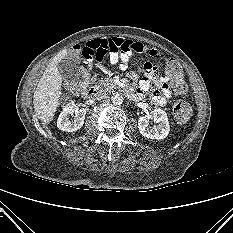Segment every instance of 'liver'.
<instances>
[{"label":"liver","mask_w":233,"mask_h":233,"mask_svg":"<svg viewBox=\"0 0 233 233\" xmlns=\"http://www.w3.org/2000/svg\"><path fill=\"white\" fill-rule=\"evenodd\" d=\"M68 55L67 50L59 52L45 69L33 96L37 117L47 124L53 120L61 95L62 76L57 64Z\"/></svg>","instance_id":"liver-1"}]
</instances>
